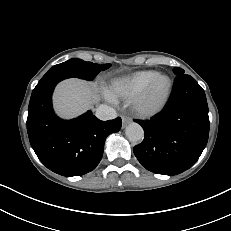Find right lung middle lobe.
<instances>
[{
    "label": "right lung middle lobe",
    "instance_id": "right-lung-middle-lobe-1",
    "mask_svg": "<svg viewBox=\"0 0 231 231\" xmlns=\"http://www.w3.org/2000/svg\"><path fill=\"white\" fill-rule=\"evenodd\" d=\"M110 66L111 64L99 65L92 62H86L78 58H73L53 66L41 78L36 87H40L56 79H65L68 77L93 80L100 71L106 70Z\"/></svg>",
    "mask_w": 231,
    "mask_h": 231
}]
</instances>
